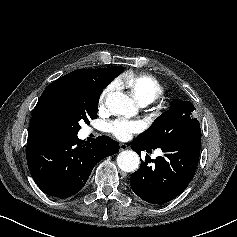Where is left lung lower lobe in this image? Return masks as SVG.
I'll return each mask as SVG.
<instances>
[{"instance_id":"left-lung-lower-lobe-1","label":"left lung lower lobe","mask_w":237,"mask_h":237,"mask_svg":"<svg viewBox=\"0 0 237 237\" xmlns=\"http://www.w3.org/2000/svg\"><path fill=\"white\" fill-rule=\"evenodd\" d=\"M201 147L200 124L193 125L178 141L160 147L164 156L145 162L131 175V188L146 202L164 204L180 195L194 177ZM138 155L152 148L138 139L131 142ZM153 163V165H151Z\"/></svg>"}]
</instances>
